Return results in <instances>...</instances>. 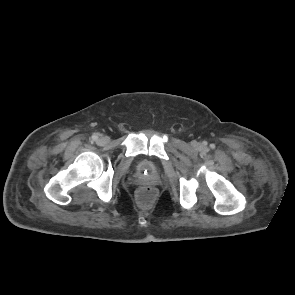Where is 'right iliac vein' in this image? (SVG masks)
I'll use <instances>...</instances> for the list:
<instances>
[{"instance_id":"1","label":"right iliac vein","mask_w":295,"mask_h":295,"mask_svg":"<svg viewBox=\"0 0 295 295\" xmlns=\"http://www.w3.org/2000/svg\"><path fill=\"white\" fill-rule=\"evenodd\" d=\"M108 141H109V138L106 136H102L98 139V143L102 145L108 143Z\"/></svg>"}]
</instances>
